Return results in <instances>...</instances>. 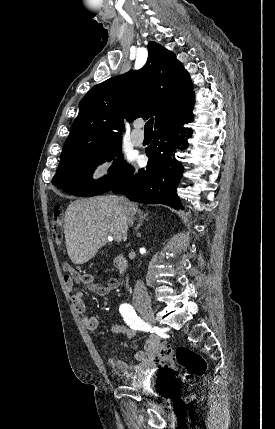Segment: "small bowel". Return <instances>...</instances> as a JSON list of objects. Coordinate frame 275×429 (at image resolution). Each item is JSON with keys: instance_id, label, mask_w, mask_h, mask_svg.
<instances>
[{"instance_id": "1", "label": "small bowel", "mask_w": 275, "mask_h": 429, "mask_svg": "<svg viewBox=\"0 0 275 429\" xmlns=\"http://www.w3.org/2000/svg\"><path fill=\"white\" fill-rule=\"evenodd\" d=\"M67 288L72 291L74 281L81 285L93 290L98 295L104 296L113 291L117 282L114 279H108L103 285L95 283L94 276L89 273L79 274L70 269L68 275L64 276ZM72 303L75 310L82 315V322L89 331H96L99 327V321L94 316L86 315V304L84 301V293L79 291L72 295ZM112 332L123 334L127 338L132 339L137 335V330L130 326L113 325ZM161 342L156 337H150L144 346V349L137 352L133 361L124 362L121 360L110 359L109 362L114 370L123 376L129 378H139L143 374H148L155 371L160 365L159 363V350ZM159 365V366H158Z\"/></svg>"}]
</instances>
